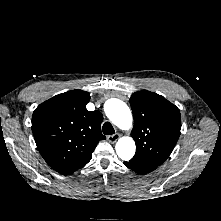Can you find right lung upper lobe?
<instances>
[{"label":"right lung upper lobe","instance_id":"1","mask_svg":"<svg viewBox=\"0 0 221 221\" xmlns=\"http://www.w3.org/2000/svg\"><path fill=\"white\" fill-rule=\"evenodd\" d=\"M90 95L72 90L52 97L33 112L32 132L39 152L57 172L68 175L85 166L101 133L103 116L88 111Z\"/></svg>","mask_w":221,"mask_h":221}]
</instances>
